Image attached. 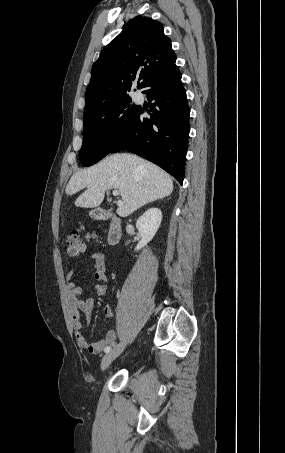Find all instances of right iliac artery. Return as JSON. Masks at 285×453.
<instances>
[{"label":"right iliac artery","instance_id":"right-iliac-artery-1","mask_svg":"<svg viewBox=\"0 0 285 453\" xmlns=\"http://www.w3.org/2000/svg\"><path fill=\"white\" fill-rule=\"evenodd\" d=\"M112 346H114V343L112 344ZM110 350H111V347L108 346L104 351H105V353H108Z\"/></svg>","mask_w":285,"mask_h":453}]
</instances>
